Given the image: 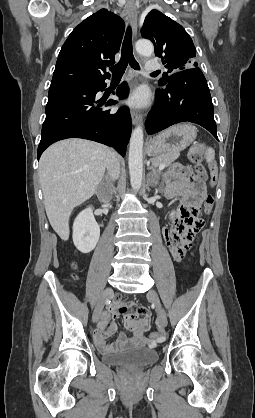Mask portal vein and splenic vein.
I'll return each mask as SVG.
<instances>
[{
  "label": "portal vein and splenic vein",
  "instance_id": "1",
  "mask_svg": "<svg viewBox=\"0 0 255 418\" xmlns=\"http://www.w3.org/2000/svg\"><path fill=\"white\" fill-rule=\"evenodd\" d=\"M165 168V164H161L160 166H159V170H163Z\"/></svg>",
  "mask_w": 255,
  "mask_h": 418
}]
</instances>
